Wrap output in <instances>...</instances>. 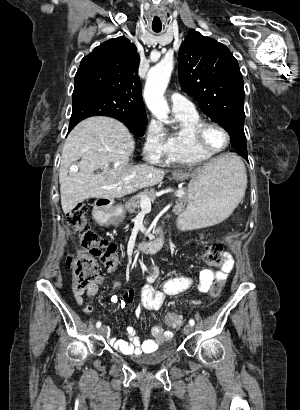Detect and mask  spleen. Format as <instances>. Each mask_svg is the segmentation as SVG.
Segmentation results:
<instances>
[{"label": "spleen", "instance_id": "spleen-1", "mask_svg": "<svg viewBox=\"0 0 300 410\" xmlns=\"http://www.w3.org/2000/svg\"><path fill=\"white\" fill-rule=\"evenodd\" d=\"M231 167L235 168L239 176L241 177V182L243 185V192H242V197H243L245 189H246V185H247V176H246L245 166L239 158L233 157L231 161Z\"/></svg>", "mask_w": 300, "mask_h": 410}]
</instances>
